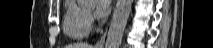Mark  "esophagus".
Returning a JSON list of instances; mask_svg holds the SVG:
<instances>
[{
  "label": "esophagus",
  "instance_id": "1",
  "mask_svg": "<svg viewBox=\"0 0 213 48\" xmlns=\"http://www.w3.org/2000/svg\"><path fill=\"white\" fill-rule=\"evenodd\" d=\"M105 37H106V33H104V35L98 41V43L96 44V48H103L104 47Z\"/></svg>",
  "mask_w": 213,
  "mask_h": 48
}]
</instances>
